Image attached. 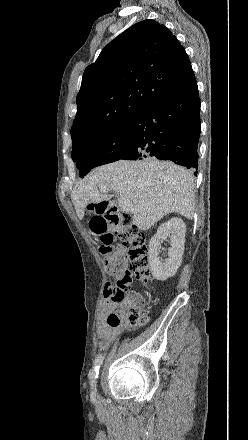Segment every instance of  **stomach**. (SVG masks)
<instances>
[{
    "label": "stomach",
    "instance_id": "0dacf381",
    "mask_svg": "<svg viewBox=\"0 0 248 440\" xmlns=\"http://www.w3.org/2000/svg\"><path fill=\"white\" fill-rule=\"evenodd\" d=\"M88 213H101V204H88ZM88 232H94L101 241H114L115 234L111 228L110 218H87Z\"/></svg>",
    "mask_w": 248,
    "mask_h": 440
}]
</instances>
